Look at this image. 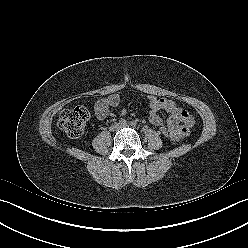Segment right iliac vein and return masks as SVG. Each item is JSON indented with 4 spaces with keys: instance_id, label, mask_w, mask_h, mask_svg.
<instances>
[{
    "instance_id": "obj_1",
    "label": "right iliac vein",
    "mask_w": 248,
    "mask_h": 248,
    "mask_svg": "<svg viewBox=\"0 0 248 248\" xmlns=\"http://www.w3.org/2000/svg\"><path fill=\"white\" fill-rule=\"evenodd\" d=\"M120 128V124H114L112 126V130H118Z\"/></svg>"
}]
</instances>
